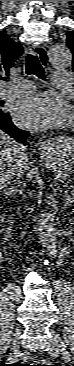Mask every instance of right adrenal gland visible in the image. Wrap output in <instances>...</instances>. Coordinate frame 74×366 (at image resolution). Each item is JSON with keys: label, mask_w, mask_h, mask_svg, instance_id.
<instances>
[{"label": "right adrenal gland", "mask_w": 74, "mask_h": 366, "mask_svg": "<svg viewBox=\"0 0 74 366\" xmlns=\"http://www.w3.org/2000/svg\"><path fill=\"white\" fill-rule=\"evenodd\" d=\"M16 192H17V190L14 186H11V188L8 191L5 190L6 196H10V197H15Z\"/></svg>", "instance_id": "2a0ac1e0"}]
</instances>
